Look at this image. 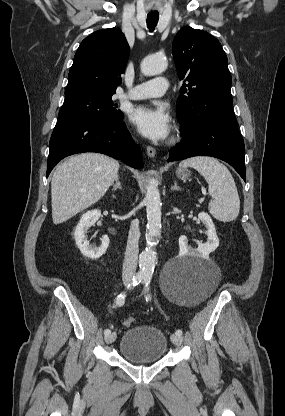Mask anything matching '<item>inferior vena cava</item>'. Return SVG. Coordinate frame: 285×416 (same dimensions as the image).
Returning a JSON list of instances; mask_svg holds the SVG:
<instances>
[{
    "label": "inferior vena cava",
    "mask_w": 285,
    "mask_h": 416,
    "mask_svg": "<svg viewBox=\"0 0 285 416\" xmlns=\"http://www.w3.org/2000/svg\"><path fill=\"white\" fill-rule=\"evenodd\" d=\"M140 232H139V222L137 220H133L131 222L128 240H127V248L125 252L124 264H123V274H135L137 260H138V240H139Z\"/></svg>",
    "instance_id": "1"
}]
</instances>
